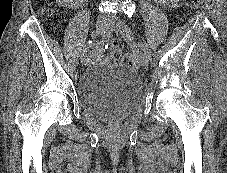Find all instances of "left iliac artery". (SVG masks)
<instances>
[{
    "label": "left iliac artery",
    "instance_id": "44dca946",
    "mask_svg": "<svg viewBox=\"0 0 227 173\" xmlns=\"http://www.w3.org/2000/svg\"><path fill=\"white\" fill-rule=\"evenodd\" d=\"M139 46L144 51L145 54H147L151 58V51L146 43H140Z\"/></svg>",
    "mask_w": 227,
    "mask_h": 173
}]
</instances>
